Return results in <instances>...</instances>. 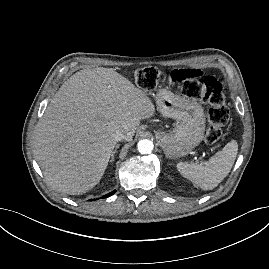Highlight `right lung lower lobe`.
<instances>
[{
	"label": "right lung lower lobe",
	"mask_w": 269,
	"mask_h": 269,
	"mask_svg": "<svg viewBox=\"0 0 269 269\" xmlns=\"http://www.w3.org/2000/svg\"><path fill=\"white\" fill-rule=\"evenodd\" d=\"M115 192H116V190L110 192L109 194L104 195L102 198H107V197L113 195ZM92 200H94V199H92ZM92 200H91V201H92Z\"/></svg>",
	"instance_id": "98d812e1"
}]
</instances>
